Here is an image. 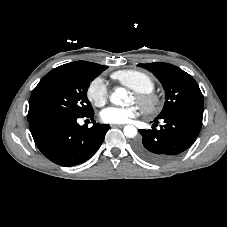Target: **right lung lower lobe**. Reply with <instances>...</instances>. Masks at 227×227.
<instances>
[{"mask_svg":"<svg viewBox=\"0 0 227 227\" xmlns=\"http://www.w3.org/2000/svg\"><path fill=\"white\" fill-rule=\"evenodd\" d=\"M93 115L94 112L83 117ZM83 117L43 115L31 119L30 131L36 146L44 156L61 166L85 162L99 149L110 126L95 122L91 128L80 126L77 119Z\"/></svg>","mask_w":227,"mask_h":227,"instance_id":"right-lung-lower-lobe-1","label":"right lung lower lobe"}]
</instances>
